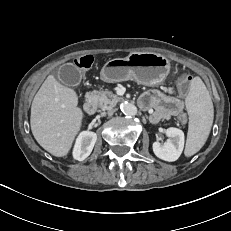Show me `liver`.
Segmentation results:
<instances>
[{"instance_id": "1", "label": "liver", "mask_w": 231, "mask_h": 231, "mask_svg": "<svg viewBox=\"0 0 231 231\" xmlns=\"http://www.w3.org/2000/svg\"><path fill=\"white\" fill-rule=\"evenodd\" d=\"M83 117L76 92L49 75L31 106V130L39 145L54 156H66L82 127Z\"/></svg>"}]
</instances>
